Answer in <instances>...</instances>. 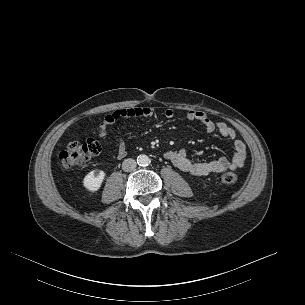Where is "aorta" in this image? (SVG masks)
<instances>
[{
	"label": "aorta",
	"mask_w": 305,
	"mask_h": 305,
	"mask_svg": "<svg viewBox=\"0 0 305 305\" xmlns=\"http://www.w3.org/2000/svg\"><path fill=\"white\" fill-rule=\"evenodd\" d=\"M137 163L140 165V166H148L149 163H150V159L147 155L145 154H140L138 157H137Z\"/></svg>",
	"instance_id": "1"
}]
</instances>
